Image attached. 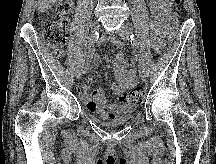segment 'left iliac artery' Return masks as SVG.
<instances>
[{"label":"left iliac artery","instance_id":"left-iliac-artery-1","mask_svg":"<svg viewBox=\"0 0 216 164\" xmlns=\"http://www.w3.org/2000/svg\"><path fill=\"white\" fill-rule=\"evenodd\" d=\"M130 42H131V44L133 45V46H132V49H133V50H136V49H137V46H136L137 42H136V40H135L134 34H131V35H130ZM136 56L139 58V54L136 55ZM136 63L138 64V66L140 67L141 70H144V69H145V66L143 65L141 59H137V60H136Z\"/></svg>","mask_w":216,"mask_h":164}]
</instances>
